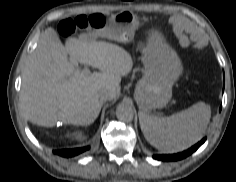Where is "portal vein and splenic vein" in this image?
Returning <instances> with one entry per match:
<instances>
[{"instance_id":"obj_1","label":"portal vein and splenic vein","mask_w":236,"mask_h":182,"mask_svg":"<svg viewBox=\"0 0 236 182\" xmlns=\"http://www.w3.org/2000/svg\"><path fill=\"white\" fill-rule=\"evenodd\" d=\"M74 63H75V65H77V62H74ZM83 72L84 73H89V69L88 68H84Z\"/></svg>"}]
</instances>
